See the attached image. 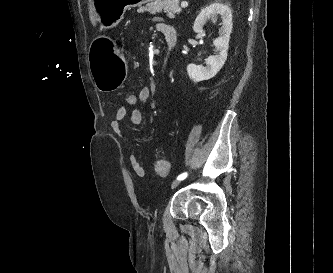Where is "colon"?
Returning <instances> with one entry per match:
<instances>
[{"mask_svg": "<svg viewBox=\"0 0 333 273\" xmlns=\"http://www.w3.org/2000/svg\"><path fill=\"white\" fill-rule=\"evenodd\" d=\"M124 103L126 108L135 107L138 103V94L130 92L124 97ZM170 169V163L166 159H160L155 163L154 170L155 173L160 177H165L168 175Z\"/></svg>", "mask_w": 333, "mask_h": 273, "instance_id": "1", "label": "colon"}]
</instances>
